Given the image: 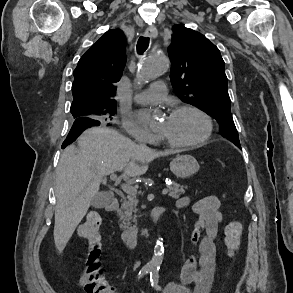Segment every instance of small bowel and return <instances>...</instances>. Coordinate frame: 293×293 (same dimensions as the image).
I'll use <instances>...</instances> for the list:
<instances>
[{
  "instance_id": "obj_1",
  "label": "small bowel",
  "mask_w": 293,
  "mask_h": 293,
  "mask_svg": "<svg viewBox=\"0 0 293 293\" xmlns=\"http://www.w3.org/2000/svg\"><path fill=\"white\" fill-rule=\"evenodd\" d=\"M176 207H190L196 217L190 235L196 254L186 260L178 281L167 285L164 293H209L216 270V238L222 223L220 201L210 195L191 204L189 197H183Z\"/></svg>"
}]
</instances>
